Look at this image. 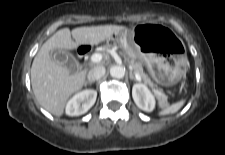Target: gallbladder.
<instances>
[{
    "label": "gallbladder",
    "instance_id": "obj_1",
    "mask_svg": "<svg viewBox=\"0 0 225 155\" xmlns=\"http://www.w3.org/2000/svg\"><path fill=\"white\" fill-rule=\"evenodd\" d=\"M50 55L54 61L65 66L69 71L76 72L78 70V61L69 52L62 49H53Z\"/></svg>",
    "mask_w": 225,
    "mask_h": 155
}]
</instances>
